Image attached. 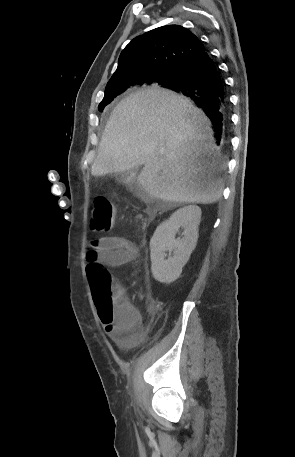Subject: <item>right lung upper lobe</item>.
Segmentation results:
<instances>
[{"label":"right lung upper lobe","instance_id":"right-lung-upper-lobe-1","mask_svg":"<svg viewBox=\"0 0 295 457\" xmlns=\"http://www.w3.org/2000/svg\"><path fill=\"white\" fill-rule=\"evenodd\" d=\"M204 51V45L190 30L180 25L158 27L134 38L123 49L106 88L124 83H130V87L163 86Z\"/></svg>","mask_w":295,"mask_h":457}]
</instances>
